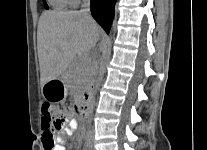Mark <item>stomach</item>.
<instances>
[{"label": "stomach", "mask_w": 207, "mask_h": 150, "mask_svg": "<svg viewBox=\"0 0 207 150\" xmlns=\"http://www.w3.org/2000/svg\"><path fill=\"white\" fill-rule=\"evenodd\" d=\"M43 97L51 101H59L67 95V85L64 79L58 78L47 82L42 87Z\"/></svg>", "instance_id": "obj_1"}]
</instances>
